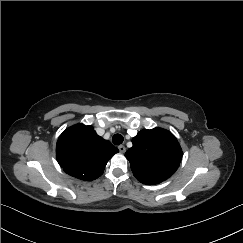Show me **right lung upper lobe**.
<instances>
[{
  "instance_id": "obj_1",
  "label": "right lung upper lobe",
  "mask_w": 243,
  "mask_h": 243,
  "mask_svg": "<svg viewBox=\"0 0 243 243\" xmlns=\"http://www.w3.org/2000/svg\"><path fill=\"white\" fill-rule=\"evenodd\" d=\"M118 152L92 126L77 124L67 128L57 141V161L64 171L81 180L102 175L110 158Z\"/></svg>"
}]
</instances>
